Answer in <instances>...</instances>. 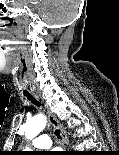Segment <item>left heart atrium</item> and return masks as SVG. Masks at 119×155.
I'll list each match as a JSON object with an SVG mask.
<instances>
[{"label": "left heart atrium", "mask_w": 119, "mask_h": 155, "mask_svg": "<svg viewBox=\"0 0 119 155\" xmlns=\"http://www.w3.org/2000/svg\"><path fill=\"white\" fill-rule=\"evenodd\" d=\"M49 155H60V154H58V152H53V153H51Z\"/></svg>", "instance_id": "1"}]
</instances>
